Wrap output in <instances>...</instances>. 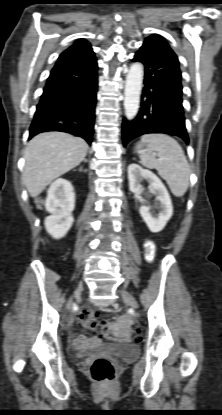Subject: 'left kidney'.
I'll return each mask as SVG.
<instances>
[{"mask_svg": "<svg viewBox=\"0 0 222 415\" xmlns=\"http://www.w3.org/2000/svg\"><path fill=\"white\" fill-rule=\"evenodd\" d=\"M128 179L129 189L135 194L143 192V186L141 185L143 180L149 182L151 191L155 192L156 200L160 202V211L158 215H153L150 212V207L144 204L145 200L141 199L143 205L139 212L151 232H160L173 214L171 198L165 185L154 173L135 163L128 166Z\"/></svg>", "mask_w": 222, "mask_h": 415, "instance_id": "5707ae66", "label": "left kidney"}]
</instances>
